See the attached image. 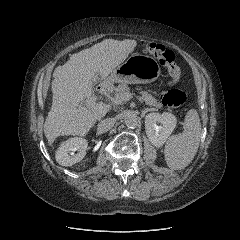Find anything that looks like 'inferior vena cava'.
Listing matches in <instances>:
<instances>
[{"mask_svg":"<svg viewBox=\"0 0 240 240\" xmlns=\"http://www.w3.org/2000/svg\"><path fill=\"white\" fill-rule=\"evenodd\" d=\"M115 123H116V120L114 118H106L100 121V123L98 124L97 130L99 133L110 131L115 126Z\"/></svg>","mask_w":240,"mask_h":240,"instance_id":"1","label":"inferior vena cava"}]
</instances>
